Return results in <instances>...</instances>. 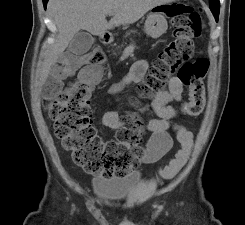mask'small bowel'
I'll return each instance as SVG.
<instances>
[{"mask_svg": "<svg viewBox=\"0 0 245 225\" xmlns=\"http://www.w3.org/2000/svg\"><path fill=\"white\" fill-rule=\"evenodd\" d=\"M149 67L148 60L142 59L135 62L130 71L123 75L120 81L113 83L108 92L114 97H118L119 93L128 85L141 81ZM101 67L93 65L85 72L91 76L88 82L95 86L101 75ZM184 85L178 76H173L168 84V91L159 93L152 102V111L154 118L145 121L146 129L150 136L141 156H136L135 161L138 165L153 164L159 161L173 145L171 133H174L177 141L182 145V134H192L182 127L176 126L174 121L178 117L179 112L174 102L182 99ZM105 127L112 131L119 130L123 125V120L114 110H108L102 117Z\"/></svg>", "mask_w": 245, "mask_h": 225, "instance_id": "1", "label": "small bowel"}]
</instances>
